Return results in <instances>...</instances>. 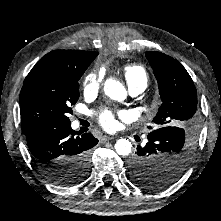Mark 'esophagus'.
Wrapping results in <instances>:
<instances>
[{
  "mask_svg": "<svg viewBox=\"0 0 221 221\" xmlns=\"http://www.w3.org/2000/svg\"><path fill=\"white\" fill-rule=\"evenodd\" d=\"M112 139H113V137L103 136V137H101L100 141H101L102 143H105V142H107V141H111Z\"/></svg>",
  "mask_w": 221,
  "mask_h": 221,
  "instance_id": "34e87169",
  "label": "esophagus"
}]
</instances>
